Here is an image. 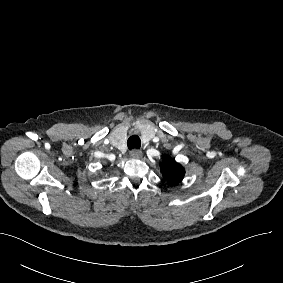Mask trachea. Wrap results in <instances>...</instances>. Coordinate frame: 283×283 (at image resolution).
Returning <instances> with one entry per match:
<instances>
[{"mask_svg":"<svg viewBox=\"0 0 283 283\" xmlns=\"http://www.w3.org/2000/svg\"><path fill=\"white\" fill-rule=\"evenodd\" d=\"M128 148L131 149H139L141 146V140L140 137L137 134H133L129 137L127 141Z\"/></svg>","mask_w":283,"mask_h":283,"instance_id":"trachea-1","label":"trachea"}]
</instances>
